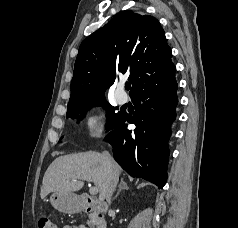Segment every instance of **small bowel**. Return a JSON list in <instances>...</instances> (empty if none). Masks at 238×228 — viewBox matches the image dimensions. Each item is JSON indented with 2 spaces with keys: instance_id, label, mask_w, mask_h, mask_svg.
<instances>
[{
  "instance_id": "1",
  "label": "small bowel",
  "mask_w": 238,
  "mask_h": 228,
  "mask_svg": "<svg viewBox=\"0 0 238 228\" xmlns=\"http://www.w3.org/2000/svg\"><path fill=\"white\" fill-rule=\"evenodd\" d=\"M63 228H86L84 225H66Z\"/></svg>"
}]
</instances>
